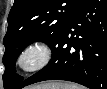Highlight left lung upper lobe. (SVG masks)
<instances>
[{
	"label": "left lung upper lobe",
	"instance_id": "obj_1",
	"mask_svg": "<svg viewBox=\"0 0 107 89\" xmlns=\"http://www.w3.org/2000/svg\"><path fill=\"white\" fill-rule=\"evenodd\" d=\"M83 0H14L8 16V29L4 37L5 53L3 85L16 89L23 81L15 74V62L21 51L35 41L49 46Z\"/></svg>",
	"mask_w": 107,
	"mask_h": 89
}]
</instances>
